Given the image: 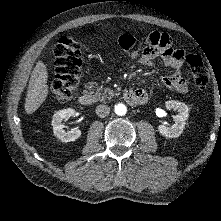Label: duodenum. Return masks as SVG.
I'll use <instances>...</instances> for the list:
<instances>
[{"label": "duodenum", "mask_w": 221, "mask_h": 221, "mask_svg": "<svg viewBox=\"0 0 221 221\" xmlns=\"http://www.w3.org/2000/svg\"><path fill=\"white\" fill-rule=\"evenodd\" d=\"M123 96L124 99L132 105L142 104L146 101L145 98L136 90H126ZM78 101L82 106H91L93 104V98L88 92L81 93Z\"/></svg>", "instance_id": "410a0bca"}]
</instances>
